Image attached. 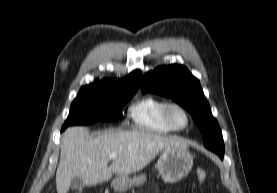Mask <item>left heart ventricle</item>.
<instances>
[{"label": "left heart ventricle", "instance_id": "left-heart-ventricle-1", "mask_svg": "<svg viewBox=\"0 0 277 193\" xmlns=\"http://www.w3.org/2000/svg\"><path fill=\"white\" fill-rule=\"evenodd\" d=\"M174 124L178 127H183L186 124L185 115L178 109H174L171 113Z\"/></svg>", "mask_w": 277, "mask_h": 193}]
</instances>
